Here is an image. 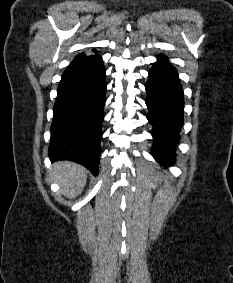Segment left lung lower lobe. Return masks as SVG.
Listing matches in <instances>:
<instances>
[{
    "label": "left lung lower lobe",
    "instance_id": "obj_1",
    "mask_svg": "<svg viewBox=\"0 0 233 283\" xmlns=\"http://www.w3.org/2000/svg\"><path fill=\"white\" fill-rule=\"evenodd\" d=\"M146 105L147 119L153 124V155L170 165L174 161V145L183 124V91L177 71L165 56L159 55L149 71Z\"/></svg>",
    "mask_w": 233,
    "mask_h": 283
}]
</instances>
